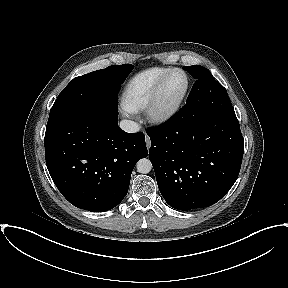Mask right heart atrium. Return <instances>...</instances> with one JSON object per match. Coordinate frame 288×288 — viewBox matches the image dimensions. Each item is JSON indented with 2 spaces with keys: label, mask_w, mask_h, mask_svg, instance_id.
Returning <instances> with one entry per match:
<instances>
[{
  "label": "right heart atrium",
  "mask_w": 288,
  "mask_h": 288,
  "mask_svg": "<svg viewBox=\"0 0 288 288\" xmlns=\"http://www.w3.org/2000/svg\"><path fill=\"white\" fill-rule=\"evenodd\" d=\"M121 112H122L123 115H125V116H130V115L132 114V112L129 111L124 104L121 105Z\"/></svg>",
  "instance_id": "1"
}]
</instances>
